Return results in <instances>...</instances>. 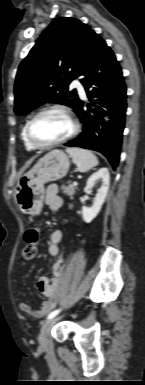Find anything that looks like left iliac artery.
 Returning a JSON list of instances; mask_svg holds the SVG:
<instances>
[{
	"instance_id": "left-iliac-artery-1",
	"label": "left iliac artery",
	"mask_w": 145,
	"mask_h": 385,
	"mask_svg": "<svg viewBox=\"0 0 145 385\" xmlns=\"http://www.w3.org/2000/svg\"><path fill=\"white\" fill-rule=\"evenodd\" d=\"M59 312H60V309L54 310V311H52V312L48 315L47 318H48V319L53 318V317H55L56 315H58Z\"/></svg>"
}]
</instances>
